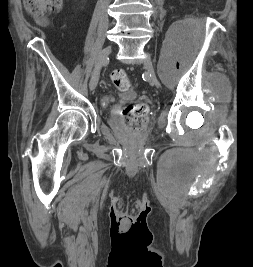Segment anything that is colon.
I'll return each instance as SVG.
<instances>
[{
    "instance_id": "colon-1",
    "label": "colon",
    "mask_w": 253,
    "mask_h": 267,
    "mask_svg": "<svg viewBox=\"0 0 253 267\" xmlns=\"http://www.w3.org/2000/svg\"><path fill=\"white\" fill-rule=\"evenodd\" d=\"M25 9L32 15L43 17L58 12L62 6V0H24ZM114 85L122 90L130 89L133 85L128 74L122 69H116L111 73ZM147 109L144 104H128L121 112V121L132 132H138L146 117Z\"/></svg>"
}]
</instances>
